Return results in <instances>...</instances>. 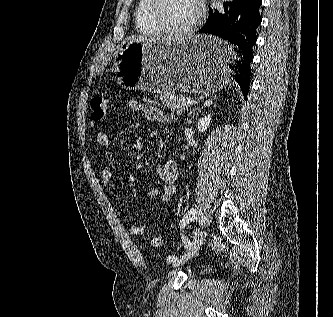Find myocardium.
Masks as SVG:
<instances>
[{
    "mask_svg": "<svg viewBox=\"0 0 333 317\" xmlns=\"http://www.w3.org/2000/svg\"><path fill=\"white\" fill-rule=\"evenodd\" d=\"M197 14L194 21L183 28H178L170 25L165 21L160 13L161 0H149L148 11L153 22L165 33L184 36L193 33L201 23L204 6L202 0H196Z\"/></svg>",
    "mask_w": 333,
    "mask_h": 317,
    "instance_id": "1",
    "label": "myocardium"
}]
</instances>
